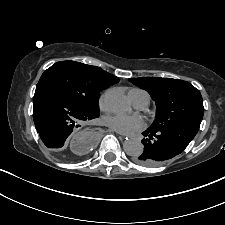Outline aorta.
<instances>
[{
  "mask_svg": "<svg viewBox=\"0 0 225 225\" xmlns=\"http://www.w3.org/2000/svg\"><path fill=\"white\" fill-rule=\"evenodd\" d=\"M107 108L114 113H122L130 108V103L120 88H111L105 93ZM124 151L129 156H137L143 151V144L138 139H127L123 143Z\"/></svg>",
  "mask_w": 225,
  "mask_h": 225,
  "instance_id": "obj_1",
  "label": "aorta"
}]
</instances>
